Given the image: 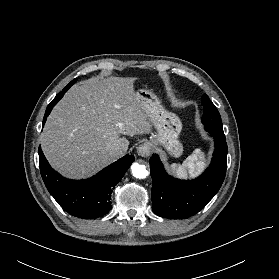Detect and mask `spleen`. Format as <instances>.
Wrapping results in <instances>:
<instances>
[{
  "label": "spleen",
  "mask_w": 279,
  "mask_h": 279,
  "mask_svg": "<svg viewBox=\"0 0 279 279\" xmlns=\"http://www.w3.org/2000/svg\"><path fill=\"white\" fill-rule=\"evenodd\" d=\"M204 154L200 149H196L182 165L172 164L171 169L176 172L180 177L187 175V170L190 174H194L204 168Z\"/></svg>",
  "instance_id": "spleen-1"
}]
</instances>
